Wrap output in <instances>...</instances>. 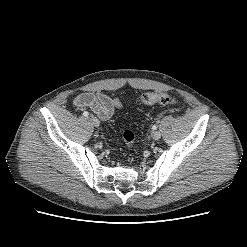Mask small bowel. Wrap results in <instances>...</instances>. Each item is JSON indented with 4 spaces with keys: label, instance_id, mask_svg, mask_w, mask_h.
I'll list each match as a JSON object with an SVG mask.
<instances>
[{
    "label": "small bowel",
    "instance_id": "small-bowel-1",
    "mask_svg": "<svg viewBox=\"0 0 247 247\" xmlns=\"http://www.w3.org/2000/svg\"><path fill=\"white\" fill-rule=\"evenodd\" d=\"M74 105L78 109H91L102 120H108L121 107L118 99L103 93H82L75 98Z\"/></svg>",
    "mask_w": 247,
    "mask_h": 247
}]
</instances>
